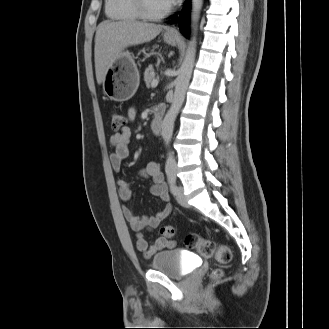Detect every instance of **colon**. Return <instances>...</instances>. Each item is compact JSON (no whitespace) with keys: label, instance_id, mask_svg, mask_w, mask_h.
Returning <instances> with one entry per match:
<instances>
[{"label":"colon","instance_id":"5ec220e1","mask_svg":"<svg viewBox=\"0 0 329 329\" xmlns=\"http://www.w3.org/2000/svg\"><path fill=\"white\" fill-rule=\"evenodd\" d=\"M111 127L114 131L119 132L126 127L127 118L126 116L117 110L110 112ZM161 235L170 239L175 236L176 229L174 226H164L160 230ZM185 244L188 248L195 250L199 255L206 258H214L219 263H229L232 258L230 249L222 244H215L206 237H203L196 233H191L186 237ZM222 276V271L216 269L212 277L217 279Z\"/></svg>","mask_w":329,"mask_h":329}]
</instances>
